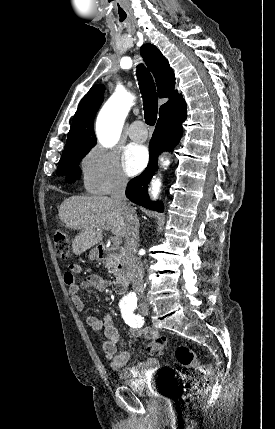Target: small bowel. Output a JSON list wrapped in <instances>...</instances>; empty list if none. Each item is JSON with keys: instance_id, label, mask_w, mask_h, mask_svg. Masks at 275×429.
<instances>
[{"instance_id": "small-bowel-1", "label": "small bowel", "mask_w": 275, "mask_h": 429, "mask_svg": "<svg viewBox=\"0 0 275 429\" xmlns=\"http://www.w3.org/2000/svg\"><path fill=\"white\" fill-rule=\"evenodd\" d=\"M80 272L81 267L79 265H70L64 275V281L68 286V293L73 305L78 311L83 312L85 304L79 295L80 286L76 283L75 279V276ZM85 286L95 288L98 291H104L108 288L109 281L92 274L86 278ZM86 323L93 331L102 330L104 332L105 341L103 343V350L105 357L112 370L118 372L122 378H137L147 372L158 369L159 363L155 358L130 364V353L125 349V343L121 339L109 314H106L103 318L89 315L86 318ZM131 335L134 337H144L149 340L148 350L150 352L156 351L157 342L163 338L156 330L150 328H132Z\"/></svg>"}]
</instances>
